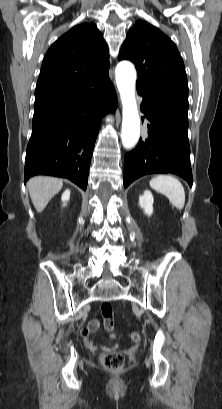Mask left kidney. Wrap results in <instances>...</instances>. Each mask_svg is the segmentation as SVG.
Listing matches in <instances>:
<instances>
[{
    "instance_id": "left-kidney-1",
    "label": "left kidney",
    "mask_w": 222,
    "mask_h": 409,
    "mask_svg": "<svg viewBox=\"0 0 222 409\" xmlns=\"http://www.w3.org/2000/svg\"><path fill=\"white\" fill-rule=\"evenodd\" d=\"M153 201V195L149 190H145L144 194L139 197V206L148 216L153 213Z\"/></svg>"
}]
</instances>
